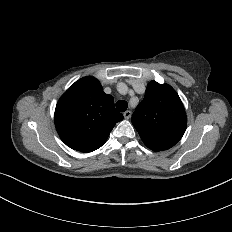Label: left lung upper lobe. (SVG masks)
Listing matches in <instances>:
<instances>
[{
	"mask_svg": "<svg viewBox=\"0 0 232 232\" xmlns=\"http://www.w3.org/2000/svg\"><path fill=\"white\" fill-rule=\"evenodd\" d=\"M131 120L144 144L153 151L174 146L187 126L185 109L177 92L155 81L147 85L144 99Z\"/></svg>",
	"mask_w": 232,
	"mask_h": 232,
	"instance_id": "left-lung-upper-lobe-1",
	"label": "left lung upper lobe"
}]
</instances>
